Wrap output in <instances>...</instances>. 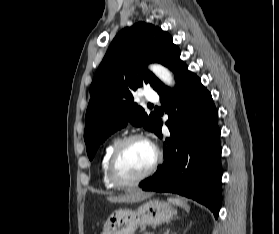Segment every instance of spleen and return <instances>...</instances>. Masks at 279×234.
<instances>
[{
  "label": "spleen",
  "mask_w": 279,
  "mask_h": 234,
  "mask_svg": "<svg viewBox=\"0 0 279 234\" xmlns=\"http://www.w3.org/2000/svg\"><path fill=\"white\" fill-rule=\"evenodd\" d=\"M168 201L175 205L183 207L187 212L189 211V206L186 204H183L182 201L178 198H169Z\"/></svg>",
  "instance_id": "spleen-1"
}]
</instances>
